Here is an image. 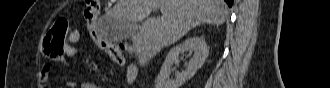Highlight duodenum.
<instances>
[{"label": "duodenum", "mask_w": 330, "mask_h": 88, "mask_svg": "<svg viewBox=\"0 0 330 88\" xmlns=\"http://www.w3.org/2000/svg\"><path fill=\"white\" fill-rule=\"evenodd\" d=\"M126 49L130 52L133 53L134 52V48L130 45L126 46ZM137 76V69L136 67L132 66L130 67L129 71H128V78H136Z\"/></svg>", "instance_id": "410a0bca"}]
</instances>
